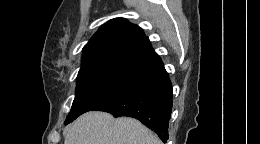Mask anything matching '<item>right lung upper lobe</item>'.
Returning a JSON list of instances; mask_svg holds the SVG:
<instances>
[{
  "mask_svg": "<svg viewBox=\"0 0 260 144\" xmlns=\"http://www.w3.org/2000/svg\"><path fill=\"white\" fill-rule=\"evenodd\" d=\"M80 70L110 67L138 71L160 61L141 28L124 18L100 27L84 46Z\"/></svg>",
  "mask_w": 260,
  "mask_h": 144,
  "instance_id": "1",
  "label": "right lung upper lobe"
}]
</instances>
